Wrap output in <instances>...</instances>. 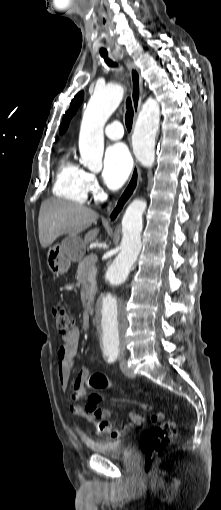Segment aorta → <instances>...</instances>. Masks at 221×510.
Masks as SVG:
<instances>
[{
    "label": "aorta",
    "instance_id": "762f6f07",
    "mask_svg": "<svg viewBox=\"0 0 221 510\" xmlns=\"http://www.w3.org/2000/svg\"><path fill=\"white\" fill-rule=\"evenodd\" d=\"M124 88L119 84L97 87L90 98L79 134L81 163L90 170L98 171L102 166L104 151L103 129L108 118L123 99ZM160 108L149 98L144 103L135 124L132 136L133 151L144 167H152L155 160V136L159 127ZM146 201L134 199L127 207L122 219V241L120 252L108 266L104 277V288L97 297L95 319L102 347L119 350L123 346L127 328L126 313L114 288L123 284L141 251L142 215Z\"/></svg>",
    "mask_w": 221,
    "mask_h": 510
}]
</instances>
